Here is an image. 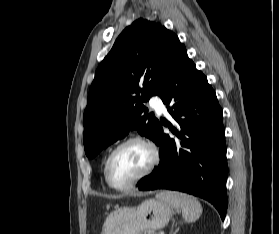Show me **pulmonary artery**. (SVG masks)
Wrapping results in <instances>:
<instances>
[{"label":"pulmonary artery","mask_w":279,"mask_h":234,"mask_svg":"<svg viewBox=\"0 0 279 234\" xmlns=\"http://www.w3.org/2000/svg\"><path fill=\"white\" fill-rule=\"evenodd\" d=\"M150 105L153 109H155L157 111V113L161 114V113H165L166 109L164 106V103L162 102V100L157 97V96H153L150 99Z\"/></svg>","instance_id":"e3ab8cb5"}]
</instances>
